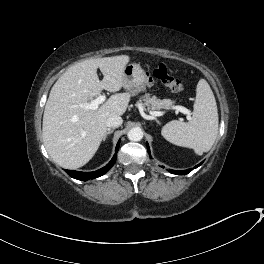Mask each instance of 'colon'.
Instances as JSON below:
<instances>
[{
	"label": "colon",
	"instance_id": "obj_1",
	"mask_svg": "<svg viewBox=\"0 0 264 264\" xmlns=\"http://www.w3.org/2000/svg\"><path fill=\"white\" fill-rule=\"evenodd\" d=\"M156 77L173 92H181L184 88L183 83L171 75L165 64H159L155 70Z\"/></svg>",
	"mask_w": 264,
	"mask_h": 264
}]
</instances>
